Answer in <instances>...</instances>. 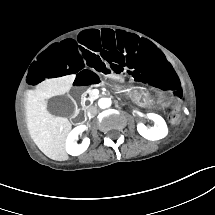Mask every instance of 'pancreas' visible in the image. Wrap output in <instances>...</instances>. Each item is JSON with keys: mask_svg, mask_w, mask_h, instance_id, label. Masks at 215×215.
I'll list each match as a JSON object with an SVG mask.
<instances>
[{"mask_svg": "<svg viewBox=\"0 0 215 215\" xmlns=\"http://www.w3.org/2000/svg\"><path fill=\"white\" fill-rule=\"evenodd\" d=\"M85 95H88L87 100L92 104L100 95L94 94L92 88L87 89ZM84 104V103H83Z\"/></svg>", "mask_w": 215, "mask_h": 215, "instance_id": "cf45deb5", "label": "pancreas"}]
</instances>
